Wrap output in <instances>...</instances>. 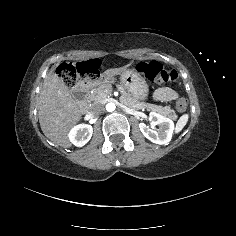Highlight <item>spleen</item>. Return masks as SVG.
Masks as SVG:
<instances>
[{
	"mask_svg": "<svg viewBox=\"0 0 236 236\" xmlns=\"http://www.w3.org/2000/svg\"><path fill=\"white\" fill-rule=\"evenodd\" d=\"M188 120H189V114L188 113L182 114L176 122L173 133L175 135H178L183 130V128L187 125Z\"/></svg>",
	"mask_w": 236,
	"mask_h": 236,
	"instance_id": "spleen-1",
	"label": "spleen"
}]
</instances>
